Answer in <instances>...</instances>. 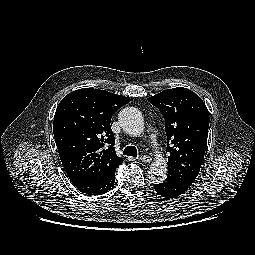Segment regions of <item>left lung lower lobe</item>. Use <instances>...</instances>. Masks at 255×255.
Wrapping results in <instances>:
<instances>
[{"instance_id":"obj_1","label":"left lung lower lobe","mask_w":255,"mask_h":255,"mask_svg":"<svg viewBox=\"0 0 255 255\" xmlns=\"http://www.w3.org/2000/svg\"><path fill=\"white\" fill-rule=\"evenodd\" d=\"M192 185L190 180L168 175L165 181L154 185L155 191L164 198H176Z\"/></svg>"}]
</instances>
